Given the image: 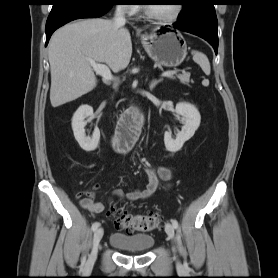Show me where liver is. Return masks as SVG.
<instances>
[{
	"mask_svg": "<svg viewBox=\"0 0 278 278\" xmlns=\"http://www.w3.org/2000/svg\"><path fill=\"white\" fill-rule=\"evenodd\" d=\"M131 55L129 31L111 20L85 19L61 27L48 46L51 105L71 102L95 88L97 79L89 60L118 72L128 66Z\"/></svg>",
	"mask_w": 278,
	"mask_h": 278,
	"instance_id": "liver-1",
	"label": "liver"
}]
</instances>
